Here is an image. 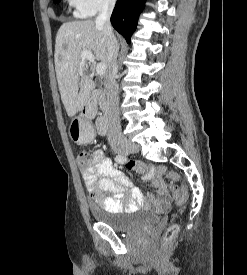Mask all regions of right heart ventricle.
<instances>
[{
	"label": "right heart ventricle",
	"instance_id": "obj_1",
	"mask_svg": "<svg viewBox=\"0 0 247 275\" xmlns=\"http://www.w3.org/2000/svg\"><path fill=\"white\" fill-rule=\"evenodd\" d=\"M68 2L70 3V5H73V0H68Z\"/></svg>",
	"mask_w": 247,
	"mask_h": 275
}]
</instances>
